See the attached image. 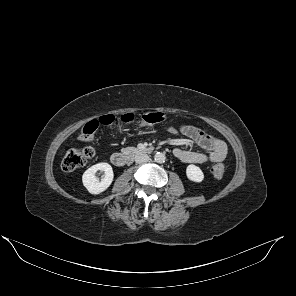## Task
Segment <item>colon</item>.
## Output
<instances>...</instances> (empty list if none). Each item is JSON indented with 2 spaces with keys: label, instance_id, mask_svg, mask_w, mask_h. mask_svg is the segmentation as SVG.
I'll use <instances>...</instances> for the list:
<instances>
[{
  "label": "colon",
  "instance_id": "colon-1",
  "mask_svg": "<svg viewBox=\"0 0 296 296\" xmlns=\"http://www.w3.org/2000/svg\"><path fill=\"white\" fill-rule=\"evenodd\" d=\"M166 116L161 112H148L140 116L132 113L124 114L119 118L113 115H104L97 120L87 122L81 129L79 138L88 141L93 138L99 127H110L120 129L128 125L149 126L165 121ZM94 151L90 147H79L70 149L64 156L62 168L64 171L71 172L83 167L93 157ZM211 173L216 178L223 177L225 167L223 164H215L211 168Z\"/></svg>",
  "mask_w": 296,
  "mask_h": 296
}]
</instances>
